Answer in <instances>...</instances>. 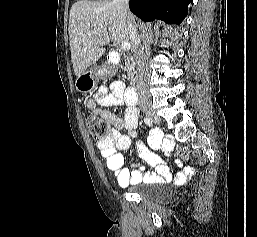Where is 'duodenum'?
<instances>
[{"instance_id": "duodenum-1", "label": "duodenum", "mask_w": 257, "mask_h": 237, "mask_svg": "<svg viewBox=\"0 0 257 237\" xmlns=\"http://www.w3.org/2000/svg\"><path fill=\"white\" fill-rule=\"evenodd\" d=\"M125 97L126 100L131 103L134 104L137 102L138 100V95H137V90L134 86H129L125 89Z\"/></svg>"}]
</instances>
